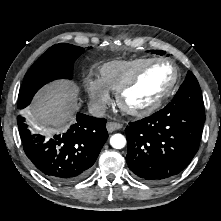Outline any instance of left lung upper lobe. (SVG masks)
<instances>
[{"instance_id": "obj_1", "label": "left lung upper lobe", "mask_w": 221, "mask_h": 221, "mask_svg": "<svg viewBox=\"0 0 221 221\" xmlns=\"http://www.w3.org/2000/svg\"><path fill=\"white\" fill-rule=\"evenodd\" d=\"M154 50H152L153 52ZM155 52H158L157 50ZM177 109L192 110L204 113V103L201 89L196 77L188 71L186 78L176 93L174 99L169 103Z\"/></svg>"}]
</instances>
